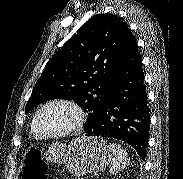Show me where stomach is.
I'll return each mask as SVG.
<instances>
[{
    "label": "stomach",
    "mask_w": 183,
    "mask_h": 179,
    "mask_svg": "<svg viewBox=\"0 0 183 179\" xmlns=\"http://www.w3.org/2000/svg\"><path fill=\"white\" fill-rule=\"evenodd\" d=\"M45 160L64 164L77 177L104 170L112 159L106 141L97 136H81L67 146L53 143L44 153Z\"/></svg>",
    "instance_id": "1"
}]
</instances>
